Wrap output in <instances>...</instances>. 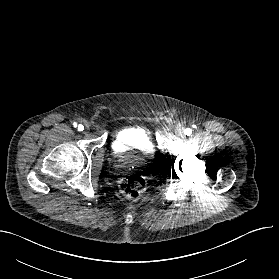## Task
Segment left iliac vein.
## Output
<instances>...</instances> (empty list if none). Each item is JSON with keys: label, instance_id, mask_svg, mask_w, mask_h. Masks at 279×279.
Instances as JSON below:
<instances>
[{"label": "left iliac vein", "instance_id": "1", "mask_svg": "<svg viewBox=\"0 0 279 279\" xmlns=\"http://www.w3.org/2000/svg\"><path fill=\"white\" fill-rule=\"evenodd\" d=\"M184 132H185V129L184 127H182L181 125H178L176 128H175V134L179 137H183L184 136Z\"/></svg>", "mask_w": 279, "mask_h": 279}]
</instances>
